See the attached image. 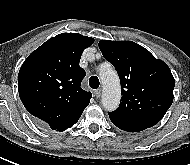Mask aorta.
Returning <instances> with one entry per match:
<instances>
[{
	"mask_svg": "<svg viewBox=\"0 0 190 165\" xmlns=\"http://www.w3.org/2000/svg\"><path fill=\"white\" fill-rule=\"evenodd\" d=\"M103 84L101 97L103 107L108 111L115 110L120 103V81L117 73L112 68H107L100 73Z\"/></svg>",
	"mask_w": 190,
	"mask_h": 165,
	"instance_id": "obj_1",
	"label": "aorta"
}]
</instances>
